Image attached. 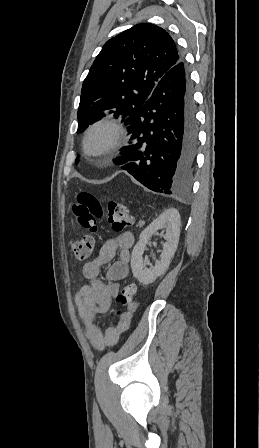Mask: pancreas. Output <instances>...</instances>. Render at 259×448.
<instances>
[{
	"label": "pancreas",
	"mask_w": 259,
	"mask_h": 448,
	"mask_svg": "<svg viewBox=\"0 0 259 448\" xmlns=\"http://www.w3.org/2000/svg\"><path fill=\"white\" fill-rule=\"evenodd\" d=\"M137 226H139V228H142L143 222H138Z\"/></svg>",
	"instance_id": "obj_1"
}]
</instances>
